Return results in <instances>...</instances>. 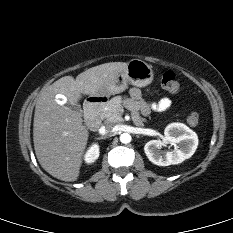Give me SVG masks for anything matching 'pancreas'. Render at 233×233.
<instances>
[{
    "mask_svg": "<svg viewBox=\"0 0 233 233\" xmlns=\"http://www.w3.org/2000/svg\"><path fill=\"white\" fill-rule=\"evenodd\" d=\"M122 98L116 96L112 98L106 105V109L101 113V118L107 123L122 122Z\"/></svg>",
    "mask_w": 233,
    "mask_h": 233,
    "instance_id": "1",
    "label": "pancreas"
}]
</instances>
